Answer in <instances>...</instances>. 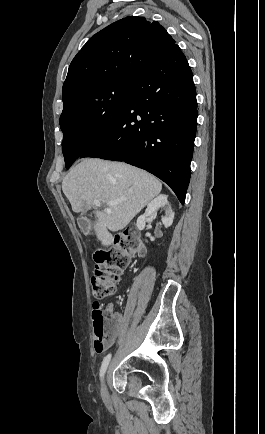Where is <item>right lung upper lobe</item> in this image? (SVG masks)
<instances>
[{"label": "right lung upper lobe", "instance_id": "obj_1", "mask_svg": "<svg viewBox=\"0 0 265 434\" xmlns=\"http://www.w3.org/2000/svg\"><path fill=\"white\" fill-rule=\"evenodd\" d=\"M175 44L156 21L138 16L118 20L93 35L75 56L63 93L108 76L137 77Z\"/></svg>", "mask_w": 265, "mask_h": 434}]
</instances>
